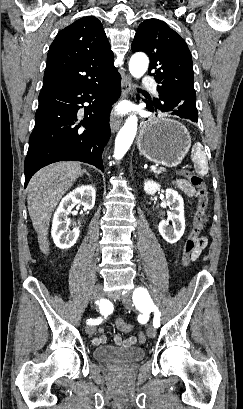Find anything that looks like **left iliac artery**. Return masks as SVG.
<instances>
[{
	"label": "left iliac artery",
	"mask_w": 243,
	"mask_h": 409,
	"mask_svg": "<svg viewBox=\"0 0 243 409\" xmlns=\"http://www.w3.org/2000/svg\"><path fill=\"white\" fill-rule=\"evenodd\" d=\"M147 294V291L143 288H138L134 292L133 300L136 305L141 304V300H143V296ZM145 302H147V306L150 308L151 311L154 312V320H153V325L155 328L160 327V316L161 312L159 311L158 307L151 301V299H145ZM144 304V302H143Z\"/></svg>",
	"instance_id": "44dca946"
}]
</instances>
